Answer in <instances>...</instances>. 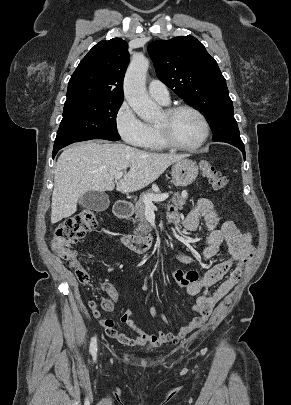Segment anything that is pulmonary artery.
Returning <instances> with one entry per match:
<instances>
[{
    "mask_svg": "<svg viewBox=\"0 0 291 405\" xmlns=\"http://www.w3.org/2000/svg\"><path fill=\"white\" fill-rule=\"evenodd\" d=\"M148 92L152 98L162 104H168L170 102L168 88L160 80H151L148 84Z\"/></svg>",
    "mask_w": 291,
    "mask_h": 405,
    "instance_id": "1",
    "label": "pulmonary artery"
}]
</instances>
